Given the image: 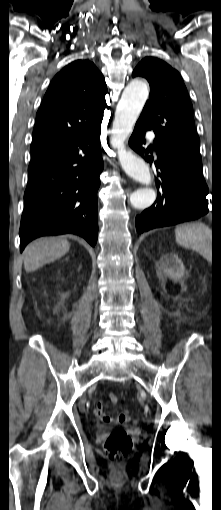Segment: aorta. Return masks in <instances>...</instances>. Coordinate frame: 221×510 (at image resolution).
Masks as SVG:
<instances>
[{
  "label": "aorta",
  "instance_id": "aorta-1",
  "mask_svg": "<svg viewBox=\"0 0 221 510\" xmlns=\"http://www.w3.org/2000/svg\"><path fill=\"white\" fill-rule=\"evenodd\" d=\"M146 83L141 80L130 82L124 89L117 105L113 122V147L118 149L119 161L125 173L145 188L135 190L130 196V203L136 209L150 207L156 198L154 189L150 188L151 174L146 162L139 156L126 151L125 139L131 133L148 98Z\"/></svg>",
  "mask_w": 221,
  "mask_h": 510
}]
</instances>
